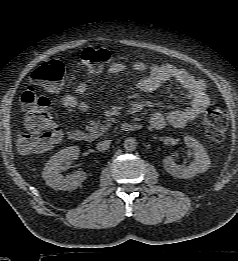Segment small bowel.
Instances as JSON below:
<instances>
[{
  "label": "small bowel",
  "instance_id": "obj_1",
  "mask_svg": "<svg viewBox=\"0 0 238 261\" xmlns=\"http://www.w3.org/2000/svg\"><path fill=\"white\" fill-rule=\"evenodd\" d=\"M126 64L120 61H112L108 68V74L114 75L125 71ZM132 69L142 73L148 70V75L142 77L137 82V88L143 92H151L158 89L168 80H175L185 91L189 104L182 109H175L168 112H155L150 117V125L154 129H162L166 126L182 128L189 122L194 121L202 114L210 104V98L206 92L204 81L196 79L185 69L175 67L171 64L152 65L148 67L144 62L133 63ZM91 77L79 82L74 93H68L63 97L64 108L72 113H85L89 109V104L80 100L91 82Z\"/></svg>",
  "mask_w": 238,
  "mask_h": 261
}]
</instances>
